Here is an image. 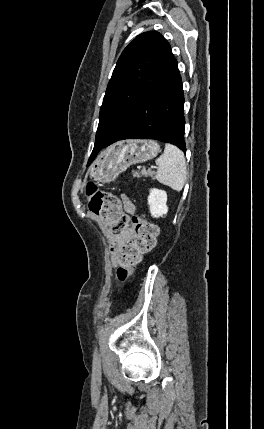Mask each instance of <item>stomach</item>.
Segmentation results:
<instances>
[{
	"label": "stomach",
	"instance_id": "1",
	"mask_svg": "<svg viewBox=\"0 0 264 429\" xmlns=\"http://www.w3.org/2000/svg\"><path fill=\"white\" fill-rule=\"evenodd\" d=\"M159 144L150 139H131L107 148L94 161L90 175L101 183L114 181L130 165L148 161L159 152Z\"/></svg>",
	"mask_w": 264,
	"mask_h": 429
}]
</instances>
